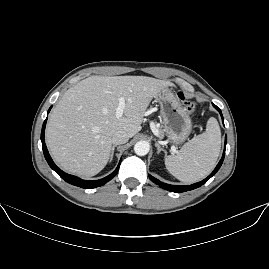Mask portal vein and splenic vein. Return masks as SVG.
I'll return each instance as SVG.
<instances>
[{"instance_id":"portal-vein-and-splenic-vein-1","label":"portal vein and splenic vein","mask_w":269,"mask_h":269,"mask_svg":"<svg viewBox=\"0 0 269 269\" xmlns=\"http://www.w3.org/2000/svg\"><path fill=\"white\" fill-rule=\"evenodd\" d=\"M124 108H125V99H124V97H120L119 98V105L116 109V114H115L116 118H120L123 116ZM148 125L151 127L153 134L156 137H159V130L154 126L155 122L153 120H150L148 122Z\"/></svg>"}]
</instances>
